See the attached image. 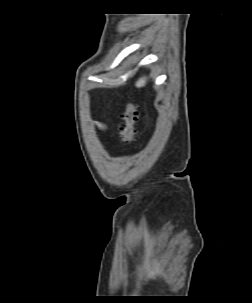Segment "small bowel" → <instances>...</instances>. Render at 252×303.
<instances>
[{"label":"small bowel","mask_w":252,"mask_h":303,"mask_svg":"<svg viewBox=\"0 0 252 303\" xmlns=\"http://www.w3.org/2000/svg\"><path fill=\"white\" fill-rule=\"evenodd\" d=\"M102 127V129H105V127L104 126H101Z\"/></svg>","instance_id":"small-bowel-1"}]
</instances>
